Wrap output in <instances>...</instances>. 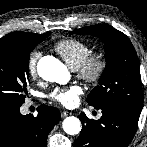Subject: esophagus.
<instances>
[{"mask_svg": "<svg viewBox=\"0 0 147 147\" xmlns=\"http://www.w3.org/2000/svg\"><path fill=\"white\" fill-rule=\"evenodd\" d=\"M68 115H71V112H69V111H62L61 112V117H66V116H68Z\"/></svg>", "mask_w": 147, "mask_h": 147, "instance_id": "34e87169", "label": "esophagus"}]
</instances>
